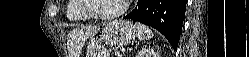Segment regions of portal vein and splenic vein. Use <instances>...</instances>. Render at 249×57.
<instances>
[{"mask_svg": "<svg viewBox=\"0 0 249 57\" xmlns=\"http://www.w3.org/2000/svg\"><path fill=\"white\" fill-rule=\"evenodd\" d=\"M117 57H122V55H119V54H118Z\"/></svg>", "mask_w": 249, "mask_h": 57, "instance_id": "18ae733b", "label": "portal vein and splenic vein"}]
</instances>
